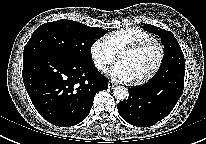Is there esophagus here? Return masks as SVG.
Listing matches in <instances>:
<instances>
[{"label": "esophagus", "mask_w": 206, "mask_h": 144, "mask_svg": "<svg viewBox=\"0 0 206 144\" xmlns=\"http://www.w3.org/2000/svg\"><path fill=\"white\" fill-rule=\"evenodd\" d=\"M115 86H116V83H114L113 81H109V82H108V87H109L110 89H113Z\"/></svg>", "instance_id": "obj_1"}]
</instances>
